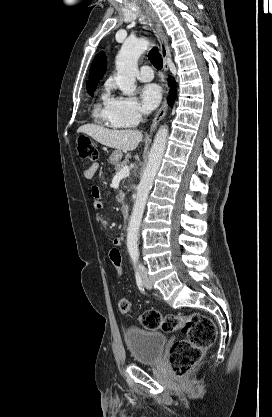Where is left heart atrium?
Segmentation results:
<instances>
[{
  "label": "left heart atrium",
  "instance_id": "1",
  "mask_svg": "<svg viewBox=\"0 0 272 417\" xmlns=\"http://www.w3.org/2000/svg\"><path fill=\"white\" fill-rule=\"evenodd\" d=\"M141 98L146 110L155 109L162 99V90L157 84H147L142 88Z\"/></svg>",
  "mask_w": 272,
  "mask_h": 417
}]
</instances>
